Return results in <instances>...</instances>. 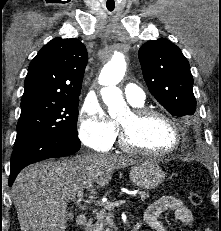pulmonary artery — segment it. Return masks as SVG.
Segmentation results:
<instances>
[{
    "instance_id": "e3ab8cb5",
    "label": "pulmonary artery",
    "mask_w": 221,
    "mask_h": 231,
    "mask_svg": "<svg viewBox=\"0 0 221 231\" xmlns=\"http://www.w3.org/2000/svg\"><path fill=\"white\" fill-rule=\"evenodd\" d=\"M126 99L131 104H142L145 100V94L136 84L128 83L124 86Z\"/></svg>"
}]
</instances>
